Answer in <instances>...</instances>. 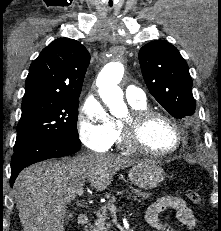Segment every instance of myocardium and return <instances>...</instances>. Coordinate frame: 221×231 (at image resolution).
I'll return each instance as SVG.
<instances>
[{"label":"myocardium","mask_w":221,"mask_h":231,"mask_svg":"<svg viewBox=\"0 0 221 231\" xmlns=\"http://www.w3.org/2000/svg\"><path fill=\"white\" fill-rule=\"evenodd\" d=\"M154 119L168 122L175 130L177 141L174 147L167 151H154L146 147L144 130L147 124ZM121 144L130 151L142 152L155 157H167L177 152L182 145L183 131L178 122L170 115L149 108L133 110L120 121Z\"/></svg>","instance_id":"myocardium-1"}]
</instances>
